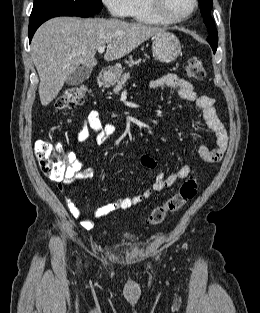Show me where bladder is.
I'll return each instance as SVG.
<instances>
[{
  "label": "bladder",
  "instance_id": "31cf9c89",
  "mask_svg": "<svg viewBox=\"0 0 260 313\" xmlns=\"http://www.w3.org/2000/svg\"><path fill=\"white\" fill-rule=\"evenodd\" d=\"M133 238L134 237L132 235H125L121 237L123 241H130V240H133Z\"/></svg>",
  "mask_w": 260,
  "mask_h": 313
}]
</instances>
